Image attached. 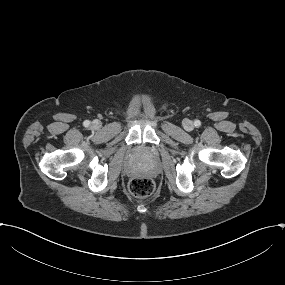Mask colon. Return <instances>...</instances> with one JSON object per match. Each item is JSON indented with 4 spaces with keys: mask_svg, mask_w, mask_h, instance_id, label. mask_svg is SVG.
<instances>
[{
    "mask_svg": "<svg viewBox=\"0 0 285 285\" xmlns=\"http://www.w3.org/2000/svg\"><path fill=\"white\" fill-rule=\"evenodd\" d=\"M129 190L136 197H147L154 192L155 183L148 177H134L129 182Z\"/></svg>",
    "mask_w": 285,
    "mask_h": 285,
    "instance_id": "obj_1",
    "label": "colon"
}]
</instances>
